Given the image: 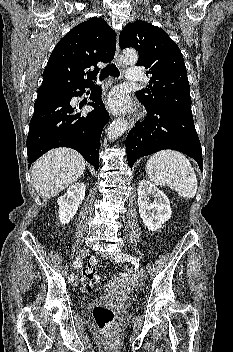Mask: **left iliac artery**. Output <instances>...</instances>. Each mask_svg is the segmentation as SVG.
<instances>
[{"label": "left iliac artery", "mask_w": 233, "mask_h": 352, "mask_svg": "<svg viewBox=\"0 0 233 352\" xmlns=\"http://www.w3.org/2000/svg\"><path fill=\"white\" fill-rule=\"evenodd\" d=\"M122 259H123L124 261H127V262L132 263V264L135 265L136 267L140 265V260H139L137 257L133 256V255L124 254V255L122 256Z\"/></svg>", "instance_id": "left-iliac-artery-1"}]
</instances>
